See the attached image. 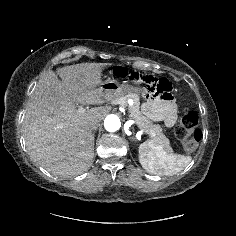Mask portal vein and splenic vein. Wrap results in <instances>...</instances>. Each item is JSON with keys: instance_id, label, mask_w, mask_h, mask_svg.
Wrapping results in <instances>:
<instances>
[{"instance_id": "18ae733b", "label": "portal vein and splenic vein", "mask_w": 236, "mask_h": 236, "mask_svg": "<svg viewBox=\"0 0 236 236\" xmlns=\"http://www.w3.org/2000/svg\"><path fill=\"white\" fill-rule=\"evenodd\" d=\"M78 111L81 112V113H83V112H85V108L79 107V108H78Z\"/></svg>"}]
</instances>
